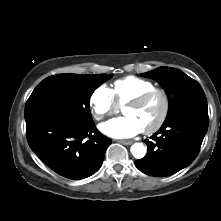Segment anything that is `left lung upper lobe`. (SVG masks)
I'll list each match as a JSON object with an SVG mask.
<instances>
[{"label": "left lung upper lobe", "mask_w": 221, "mask_h": 221, "mask_svg": "<svg viewBox=\"0 0 221 221\" xmlns=\"http://www.w3.org/2000/svg\"><path fill=\"white\" fill-rule=\"evenodd\" d=\"M141 75L157 80L165 89L169 100V111L166 119L190 105L207 103L199 83L178 69L159 67Z\"/></svg>", "instance_id": "5c2ea615"}]
</instances>
